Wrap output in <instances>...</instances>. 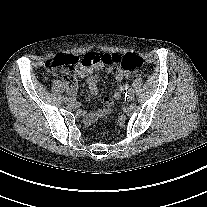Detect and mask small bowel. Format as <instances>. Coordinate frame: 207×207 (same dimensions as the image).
<instances>
[{
	"instance_id": "1",
	"label": "small bowel",
	"mask_w": 207,
	"mask_h": 207,
	"mask_svg": "<svg viewBox=\"0 0 207 207\" xmlns=\"http://www.w3.org/2000/svg\"><path fill=\"white\" fill-rule=\"evenodd\" d=\"M103 69V64L99 63V64H94L91 65L89 67H83L81 69V71L79 72V75L81 77H86L87 78V85H88V89L90 91V93L92 95H97L98 94V81L99 78L97 76H93L90 75L93 71H98ZM109 71H112L113 68L109 67L108 68ZM134 75H137V73H129L124 71L121 68H117L116 69V73H115V78L117 81H122L125 78H129L132 77ZM126 86H120L119 88L115 89L113 91V98L114 99H119L121 94L124 93L126 91ZM114 107V102L112 98H105L103 101V104L101 106V108H99L96 111H92V112H87L83 115V122L86 125H90L92 123H94L95 121H97L99 118L105 117L107 115H109Z\"/></svg>"
}]
</instances>
